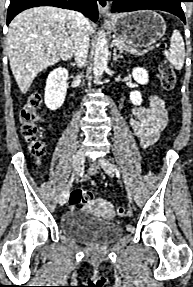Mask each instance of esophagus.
<instances>
[{"label": "esophagus", "mask_w": 193, "mask_h": 287, "mask_svg": "<svg viewBox=\"0 0 193 287\" xmlns=\"http://www.w3.org/2000/svg\"><path fill=\"white\" fill-rule=\"evenodd\" d=\"M98 8L101 15L108 17L109 1L108 0H98Z\"/></svg>", "instance_id": "34e87169"}]
</instances>
